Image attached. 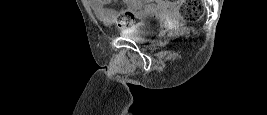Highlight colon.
<instances>
[{"label": "colon", "mask_w": 267, "mask_h": 115, "mask_svg": "<svg viewBox=\"0 0 267 115\" xmlns=\"http://www.w3.org/2000/svg\"><path fill=\"white\" fill-rule=\"evenodd\" d=\"M173 3L179 4L182 19L187 23L198 21L203 15V3L200 0H173ZM118 18L121 23H127L135 18V9L127 6L118 12ZM187 27H183L173 31L172 33H180L187 31Z\"/></svg>", "instance_id": "obj_1"}]
</instances>
